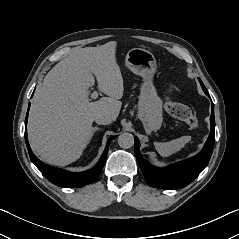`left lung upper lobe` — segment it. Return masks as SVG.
<instances>
[{"label": "left lung upper lobe", "mask_w": 239, "mask_h": 239, "mask_svg": "<svg viewBox=\"0 0 239 239\" xmlns=\"http://www.w3.org/2000/svg\"><path fill=\"white\" fill-rule=\"evenodd\" d=\"M199 81H200V84L204 85L203 82L200 79H199Z\"/></svg>", "instance_id": "left-lung-upper-lobe-1"}]
</instances>
